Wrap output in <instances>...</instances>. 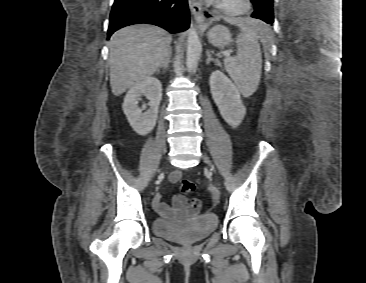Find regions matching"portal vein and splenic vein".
Listing matches in <instances>:
<instances>
[{
	"label": "portal vein and splenic vein",
	"instance_id": "obj_1",
	"mask_svg": "<svg viewBox=\"0 0 366 283\" xmlns=\"http://www.w3.org/2000/svg\"><path fill=\"white\" fill-rule=\"evenodd\" d=\"M224 55L225 56H229L230 55V52H225Z\"/></svg>",
	"mask_w": 366,
	"mask_h": 283
}]
</instances>
